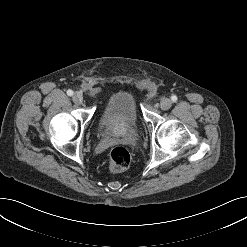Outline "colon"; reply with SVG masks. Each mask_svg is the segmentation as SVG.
I'll use <instances>...</instances> for the list:
<instances>
[{
	"mask_svg": "<svg viewBox=\"0 0 247 247\" xmlns=\"http://www.w3.org/2000/svg\"><path fill=\"white\" fill-rule=\"evenodd\" d=\"M131 161L128 150L122 146L114 147L109 154L110 169L114 172L128 168Z\"/></svg>",
	"mask_w": 247,
	"mask_h": 247,
	"instance_id": "1",
	"label": "colon"
}]
</instances>
